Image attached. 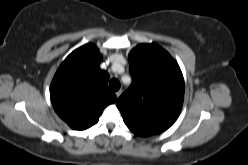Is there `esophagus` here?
I'll return each instance as SVG.
<instances>
[{"instance_id":"1","label":"esophagus","mask_w":248,"mask_h":165,"mask_svg":"<svg viewBox=\"0 0 248 165\" xmlns=\"http://www.w3.org/2000/svg\"><path fill=\"white\" fill-rule=\"evenodd\" d=\"M116 97L119 98L122 94V90H118L117 92H115Z\"/></svg>"}]
</instances>
